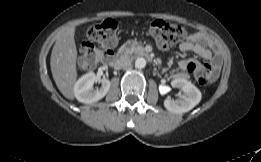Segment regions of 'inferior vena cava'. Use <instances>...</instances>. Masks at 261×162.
<instances>
[{
	"label": "inferior vena cava",
	"mask_w": 261,
	"mask_h": 162,
	"mask_svg": "<svg viewBox=\"0 0 261 162\" xmlns=\"http://www.w3.org/2000/svg\"><path fill=\"white\" fill-rule=\"evenodd\" d=\"M131 66V60L128 58H120L116 61L114 68L115 69H127Z\"/></svg>",
	"instance_id": "602c4592"
}]
</instances>
